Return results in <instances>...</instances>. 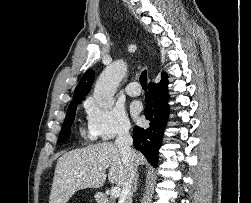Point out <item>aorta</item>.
<instances>
[{
	"label": "aorta",
	"mask_w": 251,
	"mask_h": 203,
	"mask_svg": "<svg viewBox=\"0 0 251 203\" xmlns=\"http://www.w3.org/2000/svg\"><path fill=\"white\" fill-rule=\"evenodd\" d=\"M126 71V63L123 60H117L108 65L100 74L94 88V98L100 107L108 109L113 106L116 89Z\"/></svg>",
	"instance_id": "obj_1"
}]
</instances>
